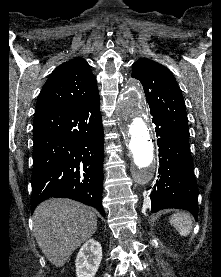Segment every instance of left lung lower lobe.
Listing matches in <instances>:
<instances>
[{
	"label": "left lung lower lobe",
	"instance_id": "obj_1",
	"mask_svg": "<svg viewBox=\"0 0 221 277\" xmlns=\"http://www.w3.org/2000/svg\"><path fill=\"white\" fill-rule=\"evenodd\" d=\"M159 147V176L148 190L151 212L180 208L198 217V188L193 173L189 139L182 137L166 121L151 113Z\"/></svg>",
	"mask_w": 221,
	"mask_h": 277
}]
</instances>
